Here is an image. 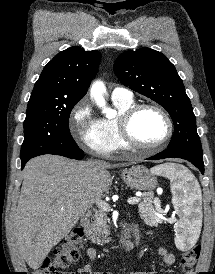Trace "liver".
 Listing matches in <instances>:
<instances>
[{
    "mask_svg": "<svg viewBox=\"0 0 215 274\" xmlns=\"http://www.w3.org/2000/svg\"><path fill=\"white\" fill-rule=\"evenodd\" d=\"M102 161H74L44 155L31 159L14 221L16 246L28 266L38 269L51 249L112 184Z\"/></svg>",
    "mask_w": 215,
    "mask_h": 274,
    "instance_id": "6515ba94",
    "label": "liver"
}]
</instances>
